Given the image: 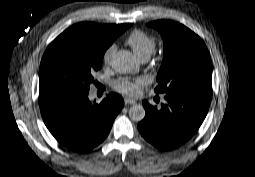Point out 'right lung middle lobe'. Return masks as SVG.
Here are the masks:
<instances>
[{"label": "right lung middle lobe", "mask_w": 255, "mask_h": 177, "mask_svg": "<svg viewBox=\"0 0 255 177\" xmlns=\"http://www.w3.org/2000/svg\"><path fill=\"white\" fill-rule=\"evenodd\" d=\"M130 23L121 24L116 37L104 38L67 29L46 49L39 70V93L54 90L89 91L92 74L102 66L107 48Z\"/></svg>", "instance_id": "obj_1"}]
</instances>
